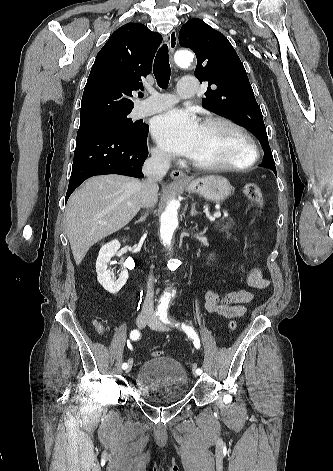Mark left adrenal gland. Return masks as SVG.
Masks as SVG:
<instances>
[{
  "mask_svg": "<svg viewBox=\"0 0 333 471\" xmlns=\"http://www.w3.org/2000/svg\"><path fill=\"white\" fill-rule=\"evenodd\" d=\"M198 214H200V212H198V211L196 210V203H193V204L191 205L190 216L193 217V216H197Z\"/></svg>",
  "mask_w": 333,
  "mask_h": 471,
  "instance_id": "a2214340",
  "label": "left adrenal gland"
}]
</instances>
